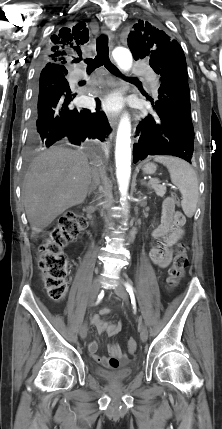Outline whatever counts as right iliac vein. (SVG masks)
I'll return each instance as SVG.
<instances>
[{
	"mask_svg": "<svg viewBox=\"0 0 222 429\" xmlns=\"http://www.w3.org/2000/svg\"><path fill=\"white\" fill-rule=\"evenodd\" d=\"M99 291H100V279L97 278L94 280L90 289V294H89L90 303H93L95 301ZM87 331H88L87 325L83 324L80 328V337L82 339H85L87 337Z\"/></svg>",
	"mask_w": 222,
	"mask_h": 429,
	"instance_id": "63e3f726",
	"label": "right iliac vein"
}]
</instances>
